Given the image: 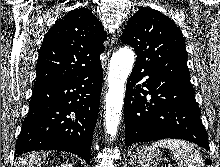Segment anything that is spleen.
Instances as JSON below:
<instances>
[{"instance_id": "obj_1", "label": "spleen", "mask_w": 220, "mask_h": 167, "mask_svg": "<svg viewBox=\"0 0 220 167\" xmlns=\"http://www.w3.org/2000/svg\"><path fill=\"white\" fill-rule=\"evenodd\" d=\"M150 147H164L173 152L178 160V167H202L203 159L192 144L179 139H162L154 142Z\"/></svg>"}]
</instances>
